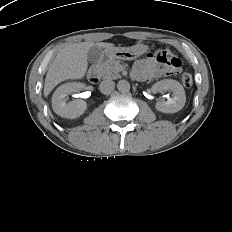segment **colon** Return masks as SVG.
<instances>
[{"mask_svg":"<svg viewBox=\"0 0 232 232\" xmlns=\"http://www.w3.org/2000/svg\"><path fill=\"white\" fill-rule=\"evenodd\" d=\"M150 57L159 65H165L167 67L173 68L176 72L181 67V60L179 57L168 49H158L151 53ZM181 81L186 88H190L193 85V78L189 73H183L181 76Z\"/></svg>","mask_w":232,"mask_h":232,"instance_id":"5ec220e1","label":"colon"}]
</instances>
